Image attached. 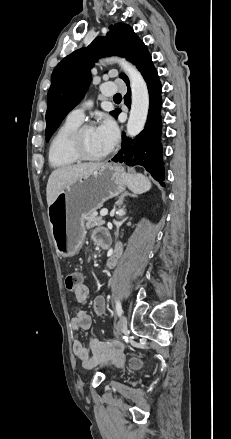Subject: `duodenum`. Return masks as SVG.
<instances>
[{
    "mask_svg": "<svg viewBox=\"0 0 231 439\" xmlns=\"http://www.w3.org/2000/svg\"><path fill=\"white\" fill-rule=\"evenodd\" d=\"M109 242L108 241H104L102 244H101V246L103 247V248H107L108 246H109Z\"/></svg>",
    "mask_w": 231,
    "mask_h": 439,
    "instance_id": "1",
    "label": "duodenum"
}]
</instances>
